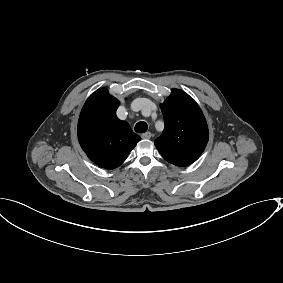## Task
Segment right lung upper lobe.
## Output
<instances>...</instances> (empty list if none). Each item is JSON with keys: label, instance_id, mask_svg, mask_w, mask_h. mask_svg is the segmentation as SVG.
<instances>
[{"label": "right lung upper lobe", "instance_id": "right-lung-upper-lobe-1", "mask_svg": "<svg viewBox=\"0 0 283 283\" xmlns=\"http://www.w3.org/2000/svg\"><path fill=\"white\" fill-rule=\"evenodd\" d=\"M119 102L105 88L86 101L78 122V140L87 156L98 166L115 169L140 141L130 126L116 116Z\"/></svg>", "mask_w": 283, "mask_h": 283}]
</instances>
